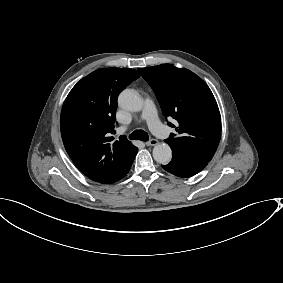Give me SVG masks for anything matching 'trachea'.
<instances>
[{
  "mask_svg": "<svg viewBox=\"0 0 283 283\" xmlns=\"http://www.w3.org/2000/svg\"><path fill=\"white\" fill-rule=\"evenodd\" d=\"M129 138L133 140H140V141L149 140L148 133H146L144 130H135L129 135Z\"/></svg>",
  "mask_w": 283,
  "mask_h": 283,
  "instance_id": "1",
  "label": "trachea"
}]
</instances>
